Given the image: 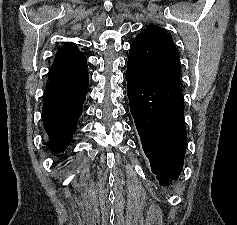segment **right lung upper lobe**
Returning a JSON list of instances; mask_svg holds the SVG:
<instances>
[{"instance_id": "1", "label": "right lung upper lobe", "mask_w": 237, "mask_h": 225, "mask_svg": "<svg viewBox=\"0 0 237 225\" xmlns=\"http://www.w3.org/2000/svg\"><path fill=\"white\" fill-rule=\"evenodd\" d=\"M86 57L74 43L61 47L51 68L48 88H72L85 83L88 78Z\"/></svg>"}]
</instances>
